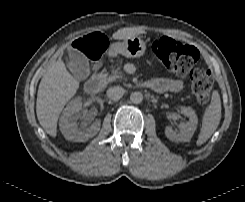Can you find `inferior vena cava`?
<instances>
[{"mask_svg": "<svg viewBox=\"0 0 245 202\" xmlns=\"http://www.w3.org/2000/svg\"><path fill=\"white\" fill-rule=\"evenodd\" d=\"M124 94L125 89L120 86L111 87L107 90V96L114 101H117L120 98H122Z\"/></svg>", "mask_w": 245, "mask_h": 202, "instance_id": "602c4592", "label": "inferior vena cava"}]
</instances>
